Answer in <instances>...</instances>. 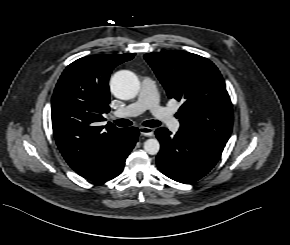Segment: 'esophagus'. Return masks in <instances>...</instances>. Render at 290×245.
<instances>
[{"label": "esophagus", "instance_id": "obj_1", "mask_svg": "<svg viewBox=\"0 0 290 245\" xmlns=\"http://www.w3.org/2000/svg\"><path fill=\"white\" fill-rule=\"evenodd\" d=\"M139 131L142 135L151 137L154 135V129L150 127H140Z\"/></svg>", "mask_w": 290, "mask_h": 245}]
</instances>
